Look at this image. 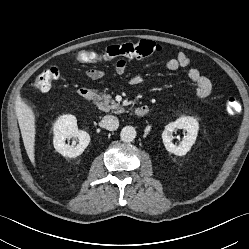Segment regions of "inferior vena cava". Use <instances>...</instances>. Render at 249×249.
<instances>
[{"instance_id":"602c4592","label":"inferior vena cava","mask_w":249,"mask_h":249,"mask_svg":"<svg viewBox=\"0 0 249 249\" xmlns=\"http://www.w3.org/2000/svg\"><path fill=\"white\" fill-rule=\"evenodd\" d=\"M103 127L109 131L117 130L119 127V121L117 117L113 115H106L102 120Z\"/></svg>"}]
</instances>
